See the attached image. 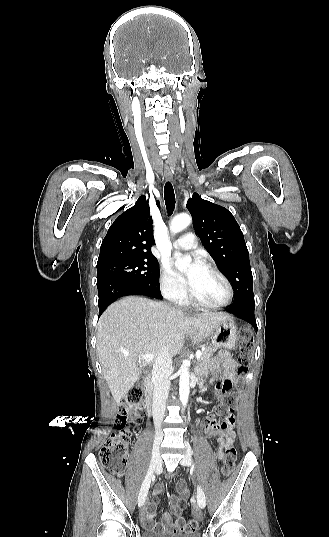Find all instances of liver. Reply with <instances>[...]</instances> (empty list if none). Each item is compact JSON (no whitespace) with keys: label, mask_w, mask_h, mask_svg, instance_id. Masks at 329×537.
Segmentation results:
<instances>
[{"label":"liver","mask_w":329,"mask_h":537,"mask_svg":"<svg viewBox=\"0 0 329 537\" xmlns=\"http://www.w3.org/2000/svg\"><path fill=\"white\" fill-rule=\"evenodd\" d=\"M228 319L222 313L186 317L164 303L136 296L111 304L97 325V352L114 400H121L150 361L141 360L140 356H157L162 346L176 356L183 347L185 334L194 342L202 341Z\"/></svg>","instance_id":"liver-1"}]
</instances>
